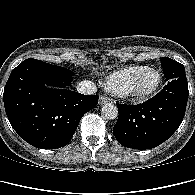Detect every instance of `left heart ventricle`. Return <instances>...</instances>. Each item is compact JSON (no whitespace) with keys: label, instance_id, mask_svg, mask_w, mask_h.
<instances>
[{"label":"left heart ventricle","instance_id":"left-heart-ventricle-1","mask_svg":"<svg viewBox=\"0 0 195 195\" xmlns=\"http://www.w3.org/2000/svg\"><path fill=\"white\" fill-rule=\"evenodd\" d=\"M157 77L154 73L144 74L137 83V89L146 90L156 83Z\"/></svg>","mask_w":195,"mask_h":195}]
</instances>
